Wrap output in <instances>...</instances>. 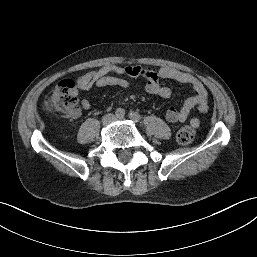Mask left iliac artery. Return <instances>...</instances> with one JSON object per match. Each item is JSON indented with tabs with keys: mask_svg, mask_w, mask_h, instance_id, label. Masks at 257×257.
Returning <instances> with one entry per match:
<instances>
[{
	"mask_svg": "<svg viewBox=\"0 0 257 257\" xmlns=\"http://www.w3.org/2000/svg\"><path fill=\"white\" fill-rule=\"evenodd\" d=\"M129 117L136 122L141 120V116L137 112H130Z\"/></svg>",
	"mask_w": 257,
	"mask_h": 257,
	"instance_id": "44dca946",
	"label": "left iliac artery"
}]
</instances>
